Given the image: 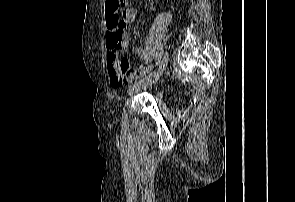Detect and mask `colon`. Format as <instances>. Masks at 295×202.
Wrapping results in <instances>:
<instances>
[{"label":"colon","mask_w":295,"mask_h":202,"mask_svg":"<svg viewBox=\"0 0 295 202\" xmlns=\"http://www.w3.org/2000/svg\"><path fill=\"white\" fill-rule=\"evenodd\" d=\"M123 2H124L123 0H106V4H105L106 14H110L113 16L107 22L108 27L111 29L118 27L120 24V17H119L118 11L120 7L122 6ZM111 36L113 38L116 37L114 32H112ZM113 77H120V76L113 75Z\"/></svg>","instance_id":"obj_1"}]
</instances>
